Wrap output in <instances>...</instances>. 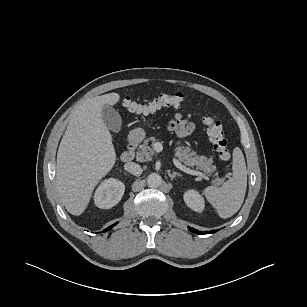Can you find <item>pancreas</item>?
Returning <instances> with one entry per match:
<instances>
[{
	"label": "pancreas",
	"instance_id": "pancreas-1",
	"mask_svg": "<svg viewBox=\"0 0 307 307\" xmlns=\"http://www.w3.org/2000/svg\"><path fill=\"white\" fill-rule=\"evenodd\" d=\"M149 142H152L151 146L149 145ZM155 142V137H150L144 140L143 144L139 146V150L137 151V161L145 162L147 160H151L152 155L154 154V149L152 146ZM175 155L185 165L196 167V169L204 171L205 173L213 172L216 169L211 158L197 155L196 152L191 151L190 147L188 146L177 147L175 149ZM221 183V179L215 180V184L219 185Z\"/></svg>",
	"mask_w": 307,
	"mask_h": 307
}]
</instances>
